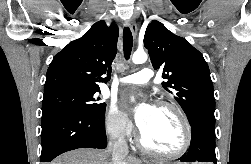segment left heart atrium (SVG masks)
I'll list each match as a JSON object with an SVG mask.
<instances>
[{"instance_id":"1","label":"left heart atrium","mask_w":251,"mask_h":164,"mask_svg":"<svg viewBox=\"0 0 251 164\" xmlns=\"http://www.w3.org/2000/svg\"><path fill=\"white\" fill-rule=\"evenodd\" d=\"M154 106L152 105H148L147 107H145V109L137 116L136 118V124L138 126V128L140 129V131L142 132L146 126L149 123V120L151 118V115L153 113L154 110Z\"/></svg>"}]
</instances>
